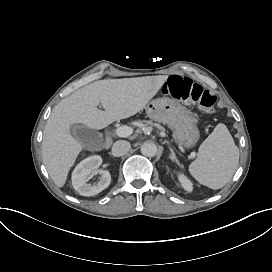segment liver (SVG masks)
Masks as SVG:
<instances>
[{"mask_svg": "<svg viewBox=\"0 0 272 272\" xmlns=\"http://www.w3.org/2000/svg\"><path fill=\"white\" fill-rule=\"evenodd\" d=\"M168 75L123 79H104L74 91L62 99L47 120L42 141L43 163L58 187H63L82 144L71 133V125L81 123L103 129L114 121L141 111ZM102 104L104 111L97 106Z\"/></svg>", "mask_w": 272, "mask_h": 272, "instance_id": "1", "label": "liver"}]
</instances>
